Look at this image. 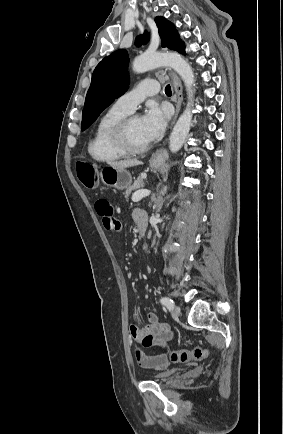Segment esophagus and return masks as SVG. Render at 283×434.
Listing matches in <instances>:
<instances>
[{"label": "esophagus", "mask_w": 283, "mask_h": 434, "mask_svg": "<svg viewBox=\"0 0 283 434\" xmlns=\"http://www.w3.org/2000/svg\"><path fill=\"white\" fill-rule=\"evenodd\" d=\"M171 78H172L173 89H174L175 95L177 97L176 112H175V117H174V121H175L178 114H179L181 104L183 101V88H182V83H181V81H180V79L176 73L171 72ZM167 157H168V154H167L166 149L165 148H159L155 153H153L152 160L153 161H163V160L167 159Z\"/></svg>", "instance_id": "obj_1"}]
</instances>
